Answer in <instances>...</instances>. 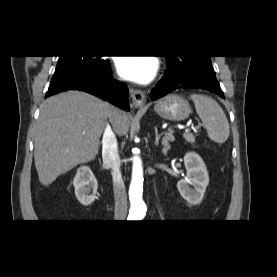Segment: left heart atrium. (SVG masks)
Instances as JSON below:
<instances>
[{
	"mask_svg": "<svg viewBox=\"0 0 277 277\" xmlns=\"http://www.w3.org/2000/svg\"><path fill=\"white\" fill-rule=\"evenodd\" d=\"M116 69L122 78L143 84L154 77L157 62L151 57H120Z\"/></svg>",
	"mask_w": 277,
	"mask_h": 277,
	"instance_id": "left-heart-atrium-1",
	"label": "left heart atrium"
}]
</instances>
